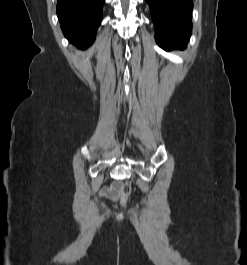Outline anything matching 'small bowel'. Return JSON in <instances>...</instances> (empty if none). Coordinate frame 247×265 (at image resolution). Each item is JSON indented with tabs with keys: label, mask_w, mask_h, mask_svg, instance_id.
I'll use <instances>...</instances> for the list:
<instances>
[{
	"label": "small bowel",
	"mask_w": 247,
	"mask_h": 265,
	"mask_svg": "<svg viewBox=\"0 0 247 265\" xmlns=\"http://www.w3.org/2000/svg\"><path fill=\"white\" fill-rule=\"evenodd\" d=\"M121 184L115 182L111 186L103 187L100 191V195L109 200H117L120 196Z\"/></svg>",
	"instance_id": "1"
}]
</instances>
